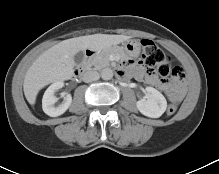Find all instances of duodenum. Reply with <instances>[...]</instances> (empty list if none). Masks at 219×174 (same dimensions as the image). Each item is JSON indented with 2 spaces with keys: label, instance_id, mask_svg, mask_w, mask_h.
Masks as SVG:
<instances>
[{
  "label": "duodenum",
  "instance_id": "1",
  "mask_svg": "<svg viewBox=\"0 0 219 174\" xmlns=\"http://www.w3.org/2000/svg\"><path fill=\"white\" fill-rule=\"evenodd\" d=\"M95 53L96 52L94 49H87L85 51L83 63L81 66L77 67L74 70V77L79 78L84 74V72L86 71V66L88 65L90 59L95 55Z\"/></svg>",
  "mask_w": 219,
  "mask_h": 174
}]
</instances>
